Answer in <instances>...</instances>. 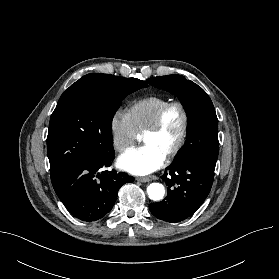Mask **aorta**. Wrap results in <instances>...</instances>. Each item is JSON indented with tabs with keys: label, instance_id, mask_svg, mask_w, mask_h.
I'll return each instance as SVG.
<instances>
[{
	"label": "aorta",
	"instance_id": "obj_1",
	"mask_svg": "<svg viewBox=\"0 0 279 279\" xmlns=\"http://www.w3.org/2000/svg\"><path fill=\"white\" fill-rule=\"evenodd\" d=\"M147 193L151 200L159 201V200L163 199V197H164L165 188L160 183H151L147 187Z\"/></svg>",
	"mask_w": 279,
	"mask_h": 279
}]
</instances>
